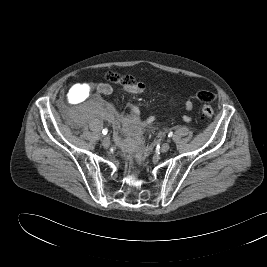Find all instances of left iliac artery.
Listing matches in <instances>:
<instances>
[{"label": "left iliac artery", "mask_w": 267, "mask_h": 267, "mask_svg": "<svg viewBox=\"0 0 267 267\" xmlns=\"http://www.w3.org/2000/svg\"><path fill=\"white\" fill-rule=\"evenodd\" d=\"M173 136V132H169L168 137H172Z\"/></svg>", "instance_id": "left-iliac-artery-1"}]
</instances>
